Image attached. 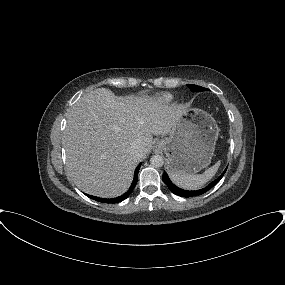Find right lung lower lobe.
Returning a JSON list of instances; mask_svg holds the SVG:
<instances>
[{
  "instance_id": "98d812e1",
  "label": "right lung lower lobe",
  "mask_w": 285,
  "mask_h": 285,
  "mask_svg": "<svg viewBox=\"0 0 285 285\" xmlns=\"http://www.w3.org/2000/svg\"><path fill=\"white\" fill-rule=\"evenodd\" d=\"M140 166H141V164H139L137 166V168L135 169L133 182H132L129 190L126 193H124L123 195L116 197V198H111V199L99 198V197H95V196L88 195V194H86V195L89 198L96 200L98 202H101V203H119V202L125 200L131 194V192L133 191V189L135 188V186L137 184V176H138Z\"/></svg>"
}]
</instances>
